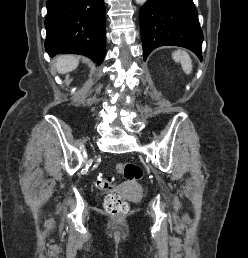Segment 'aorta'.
Returning a JSON list of instances; mask_svg holds the SVG:
<instances>
[{
	"label": "aorta",
	"instance_id": "762f6f07",
	"mask_svg": "<svg viewBox=\"0 0 248 258\" xmlns=\"http://www.w3.org/2000/svg\"><path fill=\"white\" fill-rule=\"evenodd\" d=\"M138 4H144L147 0H135Z\"/></svg>",
	"mask_w": 248,
	"mask_h": 258
}]
</instances>
